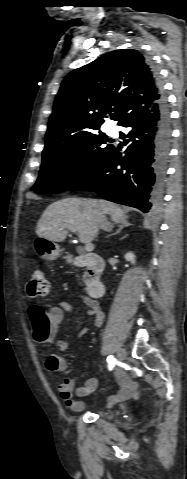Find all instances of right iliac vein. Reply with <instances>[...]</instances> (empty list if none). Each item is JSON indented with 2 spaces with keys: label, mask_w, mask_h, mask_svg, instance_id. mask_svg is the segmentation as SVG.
Here are the masks:
<instances>
[{
  "label": "right iliac vein",
  "mask_w": 187,
  "mask_h": 479,
  "mask_svg": "<svg viewBox=\"0 0 187 479\" xmlns=\"http://www.w3.org/2000/svg\"><path fill=\"white\" fill-rule=\"evenodd\" d=\"M117 356H118V359H119L120 361H123V360L125 359V357H126V352H125V350L122 349V348H119V349L117 350Z\"/></svg>",
  "instance_id": "63e3f726"
}]
</instances>
